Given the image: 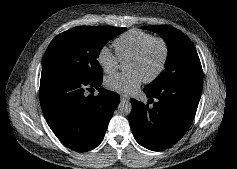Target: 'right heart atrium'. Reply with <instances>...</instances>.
Instances as JSON below:
<instances>
[{
    "mask_svg": "<svg viewBox=\"0 0 237 169\" xmlns=\"http://www.w3.org/2000/svg\"><path fill=\"white\" fill-rule=\"evenodd\" d=\"M97 61L101 68L107 72H114L119 65V57L108 46H102L97 53Z\"/></svg>",
    "mask_w": 237,
    "mask_h": 169,
    "instance_id": "1",
    "label": "right heart atrium"
}]
</instances>
